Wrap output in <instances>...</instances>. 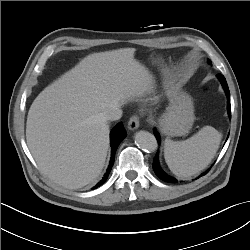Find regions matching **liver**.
I'll return each instance as SVG.
<instances>
[{
  "mask_svg": "<svg viewBox=\"0 0 250 250\" xmlns=\"http://www.w3.org/2000/svg\"><path fill=\"white\" fill-rule=\"evenodd\" d=\"M134 48L93 53L47 86L27 116L26 140L51 180L77 189L95 181L109 148L104 112L153 88Z\"/></svg>",
  "mask_w": 250,
  "mask_h": 250,
  "instance_id": "1",
  "label": "liver"
}]
</instances>
